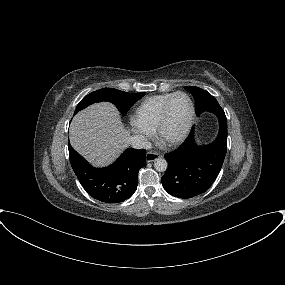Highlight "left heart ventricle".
Here are the masks:
<instances>
[{
  "label": "left heart ventricle",
  "mask_w": 285,
  "mask_h": 285,
  "mask_svg": "<svg viewBox=\"0 0 285 285\" xmlns=\"http://www.w3.org/2000/svg\"><path fill=\"white\" fill-rule=\"evenodd\" d=\"M190 111V102L187 97L179 95L172 101L164 128L165 137H175L182 132L188 122Z\"/></svg>",
  "instance_id": "b2bd125f"
}]
</instances>
